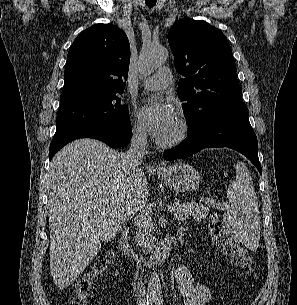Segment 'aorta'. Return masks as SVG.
Instances as JSON below:
<instances>
[{"label": "aorta", "mask_w": 297, "mask_h": 305, "mask_svg": "<svg viewBox=\"0 0 297 305\" xmlns=\"http://www.w3.org/2000/svg\"><path fill=\"white\" fill-rule=\"evenodd\" d=\"M168 57V50L163 46L145 47L139 56V70L143 74H150L161 66ZM148 294L157 298L161 295L160 277L156 271L152 272L148 282Z\"/></svg>", "instance_id": "1"}]
</instances>
